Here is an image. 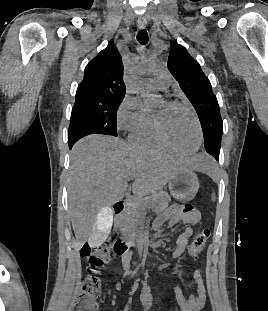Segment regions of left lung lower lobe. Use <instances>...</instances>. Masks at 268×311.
<instances>
[{
  "label": "left lung lower lobe",
  "mask_w": 268,
  "mask_h": 311,
  "mask_svg": "<svg viewBox=\"0 0 268 311\" xmlns=\"http://www.w3.org/2000/svg\"><path fill=\"white\" fill-rule=\"evenodd\" d=\"M209 154H211L213 157H215L216 160H219V153L220 151L215 150H206Z\"/></svg>",
  "instance_id": "1"
}]
</instances>
